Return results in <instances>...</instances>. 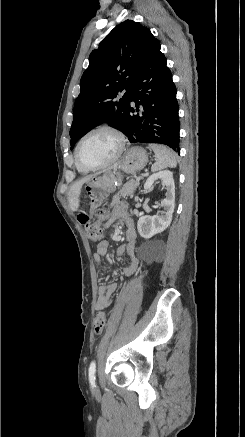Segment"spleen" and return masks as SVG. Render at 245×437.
Returning <instances> with one entry per match:
<instances>
[{
    "label": "spleen",
    "instance_id": "3e777b00",
    "mask_svg": "<svg viewBox=\"0 0 245 437\" xmlns=\"http://www.w3.org/2000/svg\"><path fill=\"white\" fill-rule=\"evenodd\" d=\"M149 147L154 151L156 157V161L151 167L152 172L160 171L168 167H176V155L172 150L159 144H149Z\"/></svg>",
    "mask_w": 245,
    "mask_h": 437
}]
</instances>
